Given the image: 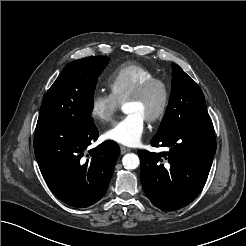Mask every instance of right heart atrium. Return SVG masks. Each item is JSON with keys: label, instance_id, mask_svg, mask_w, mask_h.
<instances>
[{"label": "right heart atrium", "instance_id": "obj_1", "mask_svg": "<svg viewBox=\"0 0 246 246\" xmlns=\"http://www.w3.org/2000/svg\"><path fill=\"white\" fill-rule=\"evenodd\" d=\"M119 108V102L111 93L96 92L90 101V115L100 123L111 122Z\"/></svg>", "mask_w": 246, "mask_h": 246}]
</instances>
